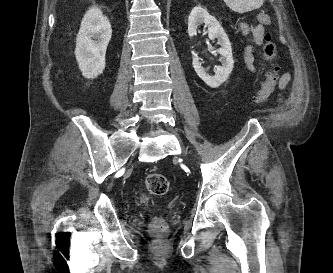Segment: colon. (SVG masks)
<instances>
[{
  "label": "colon",
  "mask_w": 333,
  "mask_h": 273,
  "mask_svg": "<svg viewBox=\"0 0 333 273\" xmlns=\"http://www.w3.org/2000/svg\"><path fill=\"white\" fill-rule=\"evenodd\" d=\"M258 20L264 25L271 24V18L266 13L258 14ZM262 56L263 59L269 64V68L256 92L254 102L257 104H263L268 100V98L273 94L279 78L278 67L274 63L276 58V45L272 41L270 34H266L264 37ZM145 189L152 195L162 196L166 194L169 189V181L163 174L153 173L146 178ZM152 229L157 233L164 232L166 229L164 220L161 218L155 219L152 224Z\"/></svg>",
  "instance_id": "5ec220e1"
}]
</instances>
